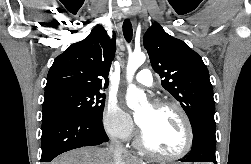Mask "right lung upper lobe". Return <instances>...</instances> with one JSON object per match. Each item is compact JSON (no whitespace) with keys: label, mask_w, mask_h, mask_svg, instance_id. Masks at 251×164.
<instances>
[{"label":"right lung upper lobe","mask_w":251,"mask_h":164,"mask_svg":"<svg viewBox=\"0 0 251 164\" xmlns=\"http://www.w3.org/2000/svg\"><path fill=\"white\" fill-rule=\"evenodd\" d=\"M114 54L115 34L110 39L101 25L95 26L84 40L72 44L54 60L45 91L57 88L101 91L107 88Z\"/></svg>","instance_id":"1"}]
</instances>
